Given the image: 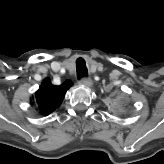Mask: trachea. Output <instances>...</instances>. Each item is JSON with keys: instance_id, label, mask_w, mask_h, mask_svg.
I'll return each instance as SVG.
<instances>
[{"instance_id": "obj_1", "label": "trachea", "mask_w": 164, "mask_h": 164, "mask_svg": "<svg viewBox=\"0 0 164 164\" xmlns=\"http://www.w3.org/2000/svg\"><path fill=\"white\" fill-rule=\"evenodd\" d=\"M76 70H77V77L80 80L83 77H86L88 74L86 63L83 58H78L76 61Z\"/></svg>"}]
</instances>
